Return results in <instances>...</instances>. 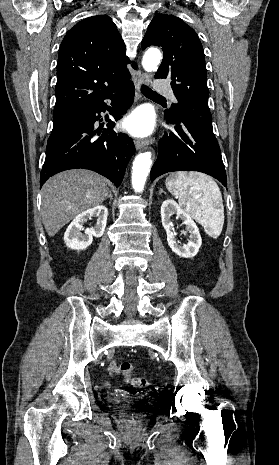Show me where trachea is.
Segmentation results:
<instances>
[{
    "instance_id": "trachea-1",
    "label": "trachea",
    "mask_w": 279,
    "mask_h": 465,
    "mask_svg": "<svg viewBox=\"0 0 279 465\" xmlns=\"http://www.w3.org/2000/svg\"><path fill=\"white\" fill-rule=\"evenodd\" d=\"M141 91L147 97H152V98H157V99H164V97H162L161 95L154 92L148 86L143 85Z\"/></svg>"
}]
</instances>
